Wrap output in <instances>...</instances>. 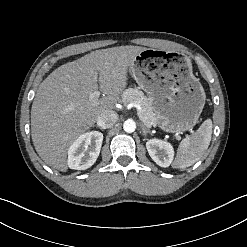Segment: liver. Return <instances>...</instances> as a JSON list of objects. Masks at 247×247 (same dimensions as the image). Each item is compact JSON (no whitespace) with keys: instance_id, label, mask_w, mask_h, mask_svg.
Returning <instances> with one entry per match:
<instances>
[{"instance_id":"6515ba94","label":"liver","mask_w":247,"mask_h":247,"mask_svg":"<svg viewBox=\"0 0 247 247\" xmlns=\"http://www.w3.org/2000/svg\"><path fill=\"white\" fill-rule=\"evenodd\" d=\"M144 50L132 45L96 50L61 65L39 85L31 108V135L47 165L67 171L70 145L101 113L113 111L127 85L129 67ZM99 87L106 96L93 102L89 96Z\"/></svg>"}]
</instances>
